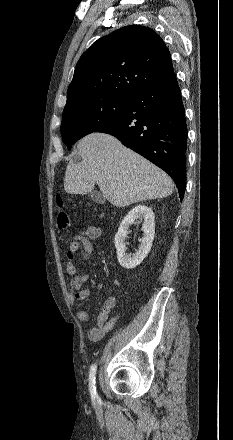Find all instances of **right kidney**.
Listing matches in <instances>:
<instances>
[{
	"label": "right kidney",
	"instance_id": "obj_1",
	"mask_svg": "<svg viewBox=\"0 0 233 440\" xmlns=\"http://www.w3.org/2000/svg\"><path fill=\"white\" fill-rule=\"evenodd\" d=\"M154 218L155 215L150 207L137 205L122 220L115 235V247L118 261L123 268L133 269L137 267L150 252L155 233ZM142 219H144V223L142 226L143 238L141 244L135 254L128 255L125 247L127 230L135 221H142Z\"/></svg>",
	"mask_w": 233,
	"mask_h": 440
}]
</instances>
